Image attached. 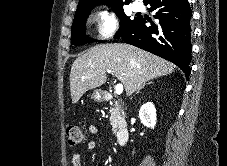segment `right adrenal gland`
<instances>
[{
	"instance_id": "obj_1",
	"label": "right adrenal gland",
	"mask_w": 227,
	"mask_h": 166,
	"mask_svg": "<svg viewBox=\"0 0 227 166\" xmlns=\"http://www.w3.org/2000/svg\"><path fill=\"white\" fill-rule=\"evenodd\" d=\"M152 82H148L147 85L151 84ZM140 90L137 91V93H139Z\"/></svg>"
}]
</instances>
